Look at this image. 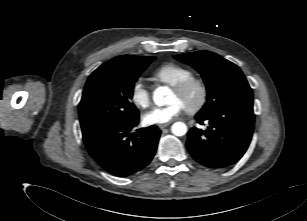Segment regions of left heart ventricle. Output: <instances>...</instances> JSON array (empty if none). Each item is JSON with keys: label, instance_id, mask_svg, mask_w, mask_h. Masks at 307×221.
Wrapping results in <instances>:
<instances>
[{"label": "left heart ventricle", "instance_id": "left-heart-ventricle-1", "mask_svg": "<svg viewBox=\"0 0 307 221\" xmlns=\"http://www.w3.org/2000/svg\"><path fill=\"white\" fill-rule=\"evenodd\" d=\"M198 99V91L194 88L188 91L185 94H179L175 91H171L169 96V102L178 101L180 102L184 107L191 106L196 103Z\"/></svg>", "mask_w": 307, "mask_h": 221}]
</instances>
